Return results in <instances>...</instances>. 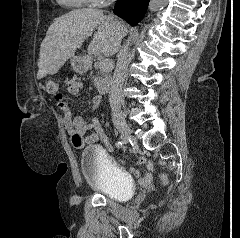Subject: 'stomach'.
<instances>
[{"mask_svg":"<svg viewBox=\"0 0 240 238\" xmlns=\"http://www.w3.org/2000/svg\"><path fill=\"white\" fill-rule=\"evenodd\" d=\"M70 63L76 72L82 73L87 69V63L82 57L73 56L70 59Z\"/></svg>","mask_w":240,"mask_h":238,"instance_id":"0dacf381","label":"stomach"}]
</instances>
